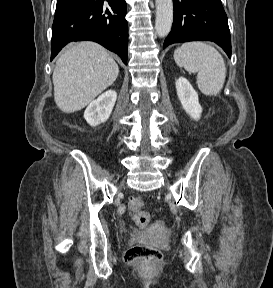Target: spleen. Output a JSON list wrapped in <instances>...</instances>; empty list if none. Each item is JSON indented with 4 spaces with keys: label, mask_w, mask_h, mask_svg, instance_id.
I'll return each instance as SVG.
<instances>
[{
    "label": "spleen",
    "mask_w": 273,
    "mask_h": 288,
    "mask_svg": "<svg viewBox=\"0 0 273 288\" xmlns=\"http://www.w3.org/2000/svg\"><path fill=\"white\" fill-rule=\"evenodd\" d=\"M174 60L186 71L197 73V85L204 95H217L223 88L225 62L211 45L201 41L184 43L174 51Z\"/></svg>",
    "instance_id": "3e777b00"
}]
</instances>
